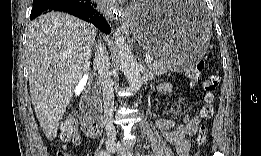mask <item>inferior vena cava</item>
I'll list each match as a JSON object with an SVG mask.
<instances>
[{
    "instance_id": "obj_1",
    "label": "inferior vena cava",
    "mask_w": 261,
    "mask_h": 156,
    "mask_svg": "<svg viewBox=\"0 0 261 156\" xmlns=\"http://www.w3.org/2000/svg\"><path fill=\"white\" fill-rule=\"evenodd\" d=\"M94 67L98 70L99 81L103 91L104 126L107 134V144H116V131L113 125L114 89L111 73L109 71V57L106 48L98 43L96 45Z\"/></svg>"
}]
</instances>
